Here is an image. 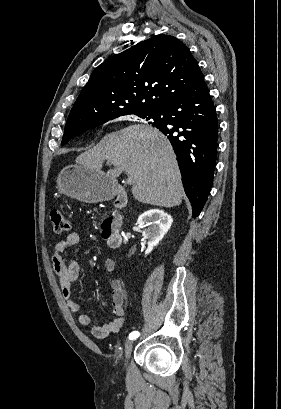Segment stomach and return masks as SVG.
Returning a JSON list of instances; mask_svg holds the SVG:
<instances>
[{
	"label": "stomach",
	"instance_id": "0dacf381",
	"mask_svg": "<svg viewBox=\"0 0 281 409\" xmlns=\"http://www.w3.org/2000/svg\"><path fill=\"white\" fill-rule=\"evenodd\" d=\"M118 186L117 180H111L106 172L85 164H69L57 176L59 192L81 202L111 200L117 194Z\"/></svg>",
	"mask_w": 281,
	"mask_h": 409
}]
</instances>
